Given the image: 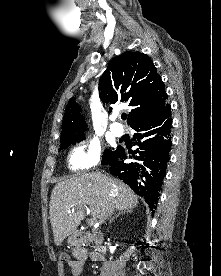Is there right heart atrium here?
Listing matches in <instances>:
<instances>
[{
	"label": "right heart atrium",
	"instance_id": "1",
	"mask_svg": "<svg viewBox=\"0 0 221 276\" xmlns=\"http://www.w3.org/2000/svg\"><path fill=\"white\" fill-rule=\"evenodd\" d=\"M100 155V144L96 140H91L88 144H80L74 147L68 157V162L73 169H89L99 162Z\"/></svg>",
	"mask_w": 221,
	"mask_h": 276
}]
</instances>
